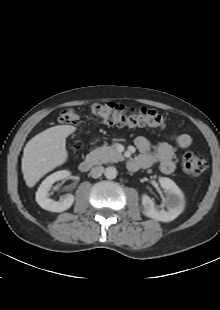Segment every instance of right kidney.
Masks as SVG:
<instances>
[{
    "instance_id": "right-kidney-1",
    "label": "right kidney",
    "mask_w": 220,
    "mask_h": 310,
    "mask_svg": "<svg viewBox=\"0 0 220 310\" xmlns=\"http://www.w3.org/2000/svg\"><path fill=\"white\" fill-rule=\"evenodd\" d=\"M69 176V171L61 170L51 174L41 183L36 192V202L40 205V207L52 212H63L72 206L74 196L71 194H68L60 201H54L53 199H50L48 195L50 188L56 181L66 179Z\"/></svg>"
}]
</instances>
